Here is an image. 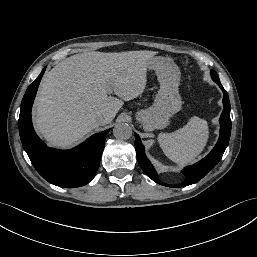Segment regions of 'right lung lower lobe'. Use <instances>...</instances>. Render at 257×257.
Returning a JSON list of instances; mask_svg holds the SVG:
<instances>
[{
    "label": "right lung lower lobe",
    "instance_id": "right-lung-lower-lobe-1",
    "mask_svg": "<svg viewBox=\"0 0 257 257\" xmlns=\"http://www.w3.org/2000/svg\"><path fill=\"white\" fill-rule=\"evenodd\" d=\"M44 71L45 68L28 87L21 103V142L33 166L45 180L60 187H80L94 178L110 129L94 134L72 150L48 148L35 134L31 121V108Z\"/></svg>",
    "mask_w": 257,
    "mask_h": 257
}]
</instances>
